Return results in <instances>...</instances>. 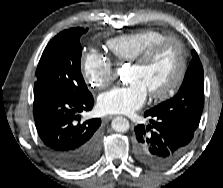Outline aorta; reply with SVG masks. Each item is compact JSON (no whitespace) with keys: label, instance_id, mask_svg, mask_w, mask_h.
Returning <instances> with one entry per match:
<instances>
[{"label":"aorta","instance_id":"1","mask_svg":"<svg viewBox=\"0 0 223 188\" xmlns=\"http://www.w3.org/2000/svg\"><path fill=\"white\" fill-rule=\"evenodd\" d=\"M118 75L123 77V69L119 68L117 70ZM111 126L114 131L116 132H126L129 129V121L124 117H115L112 120Z\"/></svg>","mask_w":223,"mask_h":188}]
</instances>
